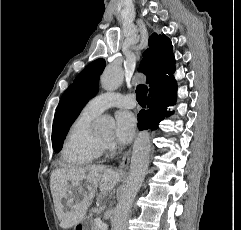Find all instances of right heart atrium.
Returning <instances> with one entry per match:
<instances>
[{"label":"right heart atrium","instance_id":"d8ad5b80","mask_svg":"<svg viewBox=\"0 0 241 230\" xmlns=\"http://www.w3.org/2000/svg\"><path fill=\"white\" fill-rule=\"evenodd\" d=\"M103 148L107 151H113V150H115L116 147L112 143H105V144H103Z\"/></svg>","mask_w":241,"mask_h":230}]
</instances>
